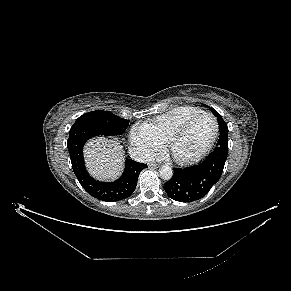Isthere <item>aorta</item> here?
<instances>
[{"label":"aorta","instance_id":"762f6f07","mask_svg":"<svg viewBox=\"0 0 291 291\" xmlns=\"http://www.w3.org/2000/svg\"><path fill=\"white\" fill-rule=\"evenodd\" d=\"M159 176L163 179V180H170L173 176V170L171 167L169 166H162L159 169Z\"/></svg>","mask_w":291,"mask_h":291}]
</instances>
